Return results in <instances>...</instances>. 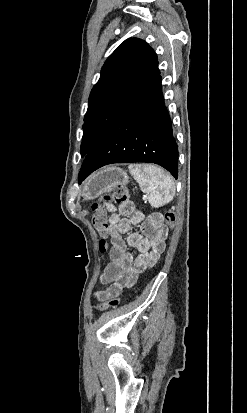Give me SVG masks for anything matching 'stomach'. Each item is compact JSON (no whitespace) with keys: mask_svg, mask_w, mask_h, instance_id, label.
<instances>
[{"mask_svg":"<svg viewBox=\"0 0 247 413\" xmlns=\"http://www.w3.org/2000/svg\"><path fill=\"white\" fill-rule=\"evenodd\" d=\"M129 182V176L126 170L120 166H103L97 172L90 174L83 182L81 196L84 200H93L100 194L111 192L118 186H125Z\"/></svg>","mask_w":247,"mask_h":413,"instance_id":"1","label":"stomach"}]
</instances>
